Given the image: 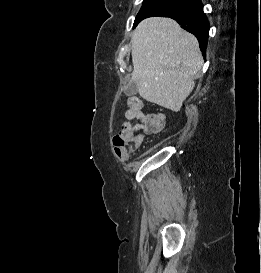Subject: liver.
I'll use <instances>...</instances> for the list:
<instances>
[{
	"mask_svg": "<svg viewBox=\"0 0 261 273\" xmlns=\"http://www.w3.org/2000/svg\"><path fill=\"white\" fill-rule=\"evenodd\" d=\"M131 49L132 79L140 96L178 112L203 65L196 37L173 19L149 17L136 27Z\"/></svg>",
	"mask_w": 261,
	"mask_h": 273,
	"instance_id": "6515ba94",
	"label": "liver"
}]
</instances>
